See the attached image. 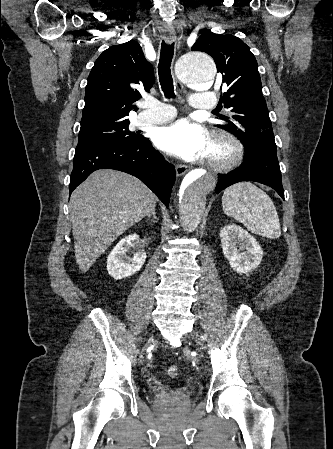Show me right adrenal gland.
Segmentation results:
<instances>
[{
	"label": "right adrenal gland",
	"instance_id": "obj_1",
	"mask_svg": "<svg viewBox=\"0 0 333 449\" xmlns=\"http://www.w3.org/2000/svg\"><path fill=\"white\" fill-rule=\"evenodd\" d=\"M151 216H153L154 219H158L156 216L155 210H153L152 213L150 215H148V217H151Z\"/></svg>",
	"mask_w": 333,
	"mask_h": 449
}]
</instances>
